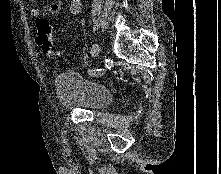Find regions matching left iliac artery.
I'll use <instances>...</instances> for the list:
<instances>
[{"label":"left iliac artery","mask_w":221,"mask_h":174,"mask_svg":"<svg viewBox=\"0 0 221 174\" xmlns=\"http://www.w3.org/2000/svg\"><path fill=\"white\" fill-rule=\"evenodd\" d=\"M91 74L96 75V76H100L103 75L105 73V69L99 68L93 71H90Z\"/></svg>","instance_id":"obj_1"}]
</instances>
